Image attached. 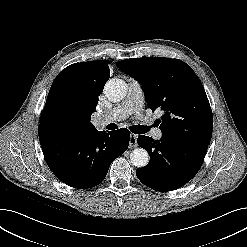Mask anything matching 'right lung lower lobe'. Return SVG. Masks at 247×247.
<instances>
[{
  "label": "right lung lower lobe",
  "mask_w": 247,
  "mask_h": 247,
  "mask_svg": "<svg viewBox=\"0 0 247 247\" xmlns=\"http://www.w3.org/2000/svg\"><path fill=\"white\" fill-rule=\"evenodd\" d=\"M38 133L51 171L66 185L79 189L100 184L112 161L127 150L130 140L126 128L76 136L40 125Z\"/></svg>",
  "instance_id": "obj_1"
}]
</instances>
